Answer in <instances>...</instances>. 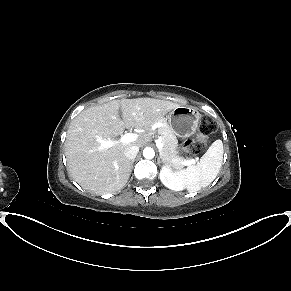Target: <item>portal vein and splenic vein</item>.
<instances>
[{
    "label": "portal vein and splenic vein",
    "mask_w": 291,
    "mask_h": 291,
    "mask_svg": "<svg viewBox=\"0 0 291 291\" xmlns=\"http://www.w3.org/2000/svg\"><path fill=\"white\" fill-rule=\"evenodd\" d=\"M137 138H138V135L135 133H126L119 140L98 139V141L101 143V148H110V147H112L116 144H119V143H131V142L137 140ZM156 146L158 149H161L163 147L161 138H159L157 140ZM196 160L195 159L186 160L184 162V164L185 165H193L196 162Z\"/></svg>",
    "instance_id": "portal-vein-and-splenic-vein-1"
}]
</instances>
